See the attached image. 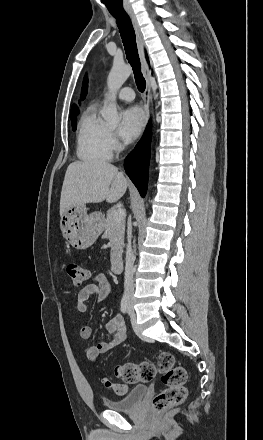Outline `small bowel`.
<instances>
[{
    "label": "small bowel",
    "mask_w": 263,
    "mask_h": 440,
    "mask_svg": "<svg viewBox=\"0 0 263 440\" xmlns=\"http://www.w3.org/2000/svg\"><path fill=\"white\" fill-rule=\"evenodd\" d=\"M113 294V289L108 278L104 274H96L92 278V282L84 286L77 295V310L85 313L88 310L87 302L93 296L97 295L99 301L109 299ZM106 331L111 338L107 341H99L94 345L86 346L84 354L90 361H96L101 354L107 353L115 347L122 344L126 337V328L121 314H116L106 323ZM92 335V328L88 325L81 327L80 339L88 340Z\"/></svg>",
    "instance_id": "obj_1"
}]
</instances>
